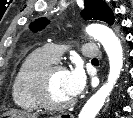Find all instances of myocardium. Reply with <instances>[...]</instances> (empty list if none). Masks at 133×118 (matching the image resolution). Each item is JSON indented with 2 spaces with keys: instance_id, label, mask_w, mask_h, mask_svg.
I'll return each instance as SVG.
<instances>
[{
  "instance_id": "obj_1",
  "label": "myocardium",
  "mask_w": 133,
  "mask_h": 118,
  "mask_svg": "<svg viewBox=\"0 0 133 118\" xmlns=\"http://www.w3.org/2000/svg\"><path fill=\"white\" fill-rule=\"evenodd\" d=\"M56 69L65 70V67L59 63H52L40 73L36 81V97L41 107L44 109L54 112H63L73 107L75 101L70 100L68 102L58 104L51 100L49 95L50 77Z\"/></svg>"
}]
</instances>
